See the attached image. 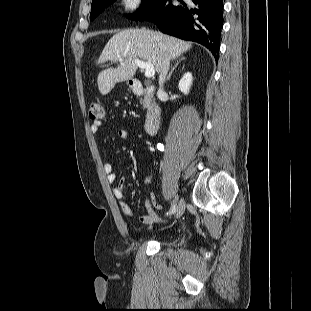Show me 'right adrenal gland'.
Returning a JSON list of instances; mask_svg holds the SVG:
<instances>
[{
	"label": "right adrenal gland",
	"mask_w": 311,
	"mask_h": 311,
	"mask_svg": "<svg viewBox=\"0 0 311 311\" xmlns=\"http://www.w3.org/2000/svg\"><path fill=\"white\" fill-rule=\"evenodd\" d=\"M183 60H185V57H182V56L181 57H177V61H176L175 65L172 67L171 71L169 72V74H168V76L166 78V81L170 80L173 71L176 69V67L179 65V63L181 61H183Z\"/></svg>",
	"instance_id": "2a0ac1e0"
}]
</instances>
